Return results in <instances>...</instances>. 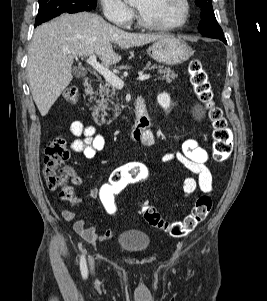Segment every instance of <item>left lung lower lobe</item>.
Segmentation results:
<instances>
[{
    "label": "left lung lower lobe",
    "mask_w": 267,
    "mask_h": 301,
    "mask_svg": "<svg viewBox=\"0 0 267 301\" xmlns=\"http://www.w3.org/2000/svg\"><path fill=\"white\" fill-rule=\"evenodd\" d=\"M217 39H219V40L223 41L225 44H227V41L225 38H217Z\"/></svg>",
    "instance_id": "left-lung-lower-lobe-1"
}]
</instances>
